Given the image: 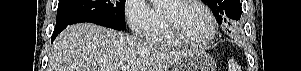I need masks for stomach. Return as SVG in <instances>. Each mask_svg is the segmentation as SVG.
Instances as JSON below:
<instances>
[{"instance_id": "obj_1", "label": "stomach", "mask_w": 301, "mask_h": 71, "mask_svg": "<svg viewBox=\"0 0 301 71\" xmlns=\"http://www.w3.org/2000/svg\"><path fill=\"white\" fill-rule=\"evenodd\" d=\"M216 62L205 50L190 51L171 71H216Z\"/></svg>"}]
</instances>
